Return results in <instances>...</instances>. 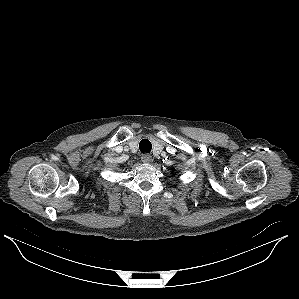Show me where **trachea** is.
Wrapping results in <instances>:
<instances>
[{
    "instance_id": "1",
    "label": "trachea",
    "mask_w": 299,
    "mask_h": 299,
    "mask_svg": "<svg viewBox=\"0 0 299 299\" xmlns=\"http://www.w3.org/2000/svg\"><path fill=\"white\" fill-rule=\"evenodd\" d=\"M139 148L142 153H149L152 149V144L148 139H143L140 141Z\"/></svg>"
}]
</instances>
